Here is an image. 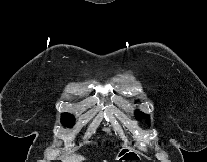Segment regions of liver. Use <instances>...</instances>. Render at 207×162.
<instances>
[{
  "label": "liver",
  "instance_id": "1",
  "mask_svg": "<svg viewBox=\"0 0 207 162\" xmlns=\"http://www.w3.org/2000/svg\"><path fill=\"white\" fill-rule=\"evenodd\" d=\"M84 160H86L85 157H83L79 154H73V155L66 157L64 162H82ZM104 162H106V161H104Z\"/></svg>",
  "mask_w": 207,
  "mask_h": 162
}]
</instances>
